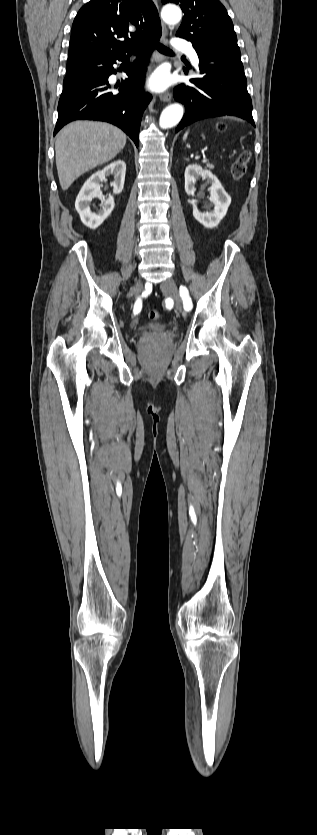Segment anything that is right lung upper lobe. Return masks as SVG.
Returning <instances> with one entry per match:
<instances>
[{
  "instance_id": "1",
  "label": "right lung upper lobe",
  "mask_w": 317,
  "mask_h": 835,
  "mask_svg": "<svg viewBox=\"0 0 317 835\" xmlns=\"http://www.w3.org/2000/svg\"><path fill=\"white\" fill-rule=\"evenodd\" d=\"M159 33L160 20L151 0H91L74 19L69 55L125 54Z\"/></svg>"
}]
</instances>
